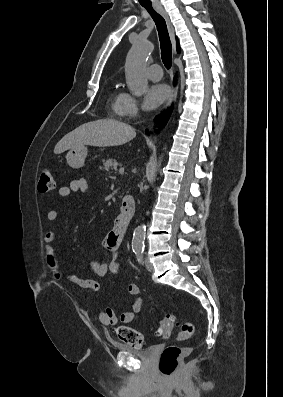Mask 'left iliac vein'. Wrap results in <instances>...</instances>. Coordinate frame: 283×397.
Returning a JSON list of instances; mask_svg holds the SVG:
<instances>
[{
    "mask_svg": "<svg viewBox=\"0 0 283 397\" xmlns=\"http://www.w3.org/2000/svg\"><path fill=\"white\" fill-rule=\"evenodd\" d=\"M145 266H146V269H147L148 271L151 272V271L153 270V265L151 264V262L149 261L148 258L145 259Z\"/></svg>",
    "mask_w": 283,
    "mask_h": 397,
    "instance_id": "left-iliac-vein-1",
    "label": "left iliac vein"
}]
</instances>
